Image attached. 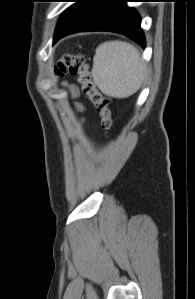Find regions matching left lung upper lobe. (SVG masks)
<instances>
[{
	"label": "left lung upper lobe",
	"mask_w": 195,
	"mask_h": 299,
	"mask_svg": "<svg viewBox=\"0 0 195 299\" xmlns=\"http://www.w3.org/2000/svg\"><path fill=\"white\" fill-rule=\"evenodd\" d=\"M75 4L70 6L61 16L56 32H58L61 28L69 25L80 13L82 8L88 2V0H75Z\"/></svg>",
	"instance_id": "obj_1"
}]
</instances>
